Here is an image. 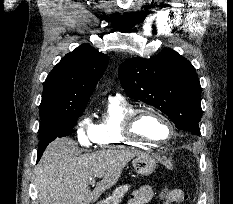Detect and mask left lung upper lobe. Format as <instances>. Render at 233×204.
<instances>
[{
  "label": "left lung upper lobe",
  "mask_w": 233,
  "mask_h": 204,
  "mask_svg": "<svg viewBox=\"0 0 233 204\" xmlns=\"http://www.w3.org/2000/svg\"><path fill=\"white\" fill-rule=\"evenodd\" d=\"M119 78L130 98L157 107L176 128L200 136V82L192 64L176 51L131 58L120 65Z\"/></svg>",
  "instance_id": "5c2ea615"
}]
</instances>
